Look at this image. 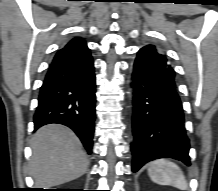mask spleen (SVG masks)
<instances>
[{"label":"spleen","mask_w":218,"mask_h":191,"mask_svg":"<svg viewBox=\"0 0 218 191\" xmlns=\"http://www.w3.org/2000/svg\"><path fill=\"white\" fill-rule=\"evenodd\" d=\"M150 179L160 185H170L187 190L188 184L180 167L168 159L153 161L148 168Z\"/></svg>","instance_id":"3e777b00"}]
</instances>
